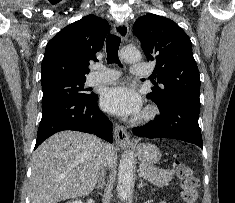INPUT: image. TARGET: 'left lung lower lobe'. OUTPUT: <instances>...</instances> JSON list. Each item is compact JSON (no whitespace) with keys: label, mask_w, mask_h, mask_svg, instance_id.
<instances>
[{"label":"left lung lower lobe","mask_w":235,"mask_h":203,"mask_svg":"<svg viewBox=\"0 0 235 203\" xmlns=\"http://www.w3.org/2000/svg\"><path fill=\"white\" fill-rule=\"evenodd\" d=\"M160 116L148 124L133 129L137 137L172 138L193 143L202 148L198 124L200 100L177 97L166 105H158Z\"/></svg>","instance_id":"left-lung-lower-lobe-1"}]
</instances>
